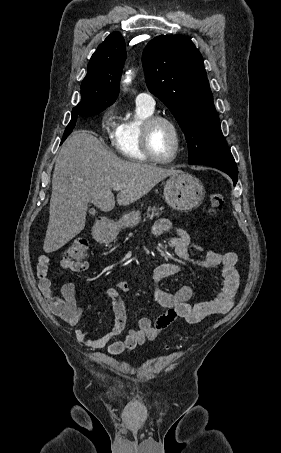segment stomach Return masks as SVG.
Wrapping results in <instances>:
<instances>
[{"label": "stomach", "mask_w": 281, "mask_h": 453, "mask_svg": "<svg viewBox=\"0 0 281 453\" xmlns=\"http://www.w3.org/2000/svg\"><path fill=\"white\" fill-rule=\"evenodd\" d=\"M205 190L202 182L197 176L189 174V172H178L169 176L164 184V196L167 204L180 210V212H189L192 208H196L204 198ZM140 212L131 210L127 214H123L119 222H107L103 227H99L96 235L101 243H111L117 237L120 229L123 227H136L140 222Z\"/></svg>", "instance_id": "stomach-1"}]
</instances>
